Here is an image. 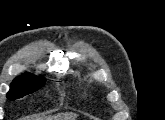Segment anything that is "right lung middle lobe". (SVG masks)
Instances as JSON below:
<instances>
[{
    "mask_svg": "<svg viewBox=\"0 0 165 120\" xmlns=\"http://www.w3.org/2000/svg\"><path fill=\"white\" fill-rule=\"evenodd\" d=\"M45 84V79L32 74H24L13 80L7 98L15 100L25 95L31 94L40 89Z\"/></svg>",
    "mask_w": 165,
    "mask_h": 120,
    "instance_id": "obj_1",
    "label": "right lung middle lobe"
}]
</instances>
